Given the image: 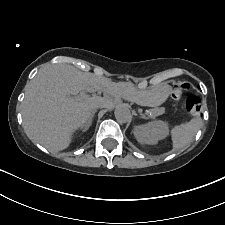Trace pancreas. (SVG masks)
Returning <instances> with one entry per match:
<instances>
[{
    "mask_svg": "<svg viewBox=\"0 0 225 225\" xmlns=\"http://www.w3.org/2000/svg\"><path fill=\"white\" fill-rule=\"evenodd\" d=\"M148 111H149V116L151 118H155L156 116L163 114L165 110H164V108H154V109H150Z\"/></svg>",
    "mask_w": 225,
    "mask_h": 225,
    "instance_id": "1",
    "label": "pancreas"
}]
</instances>
